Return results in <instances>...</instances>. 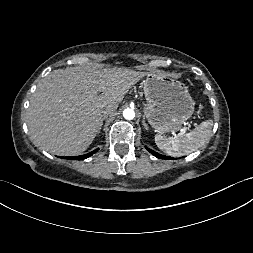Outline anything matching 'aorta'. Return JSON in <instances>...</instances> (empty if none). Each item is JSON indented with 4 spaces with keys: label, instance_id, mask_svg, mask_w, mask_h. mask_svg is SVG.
I'll return each instance as SVG.
<instances>
[{
    "label": "aorta",
    "instance_id": "aorta-1",
    "mask_svg": "<svg viewBox=\"0 0 253 253\" xmlns=\"http://www.w3.org/2000/svg\"><path fill=\"white\" fill-rule=\"evenodd\" d=\"M123 116L125 119L131 120L135 117V112L133 109L127 108L123 111Z\"/></svg>",
    "mask_w": 253,
    "mask_h": 253
}]
</instances>
